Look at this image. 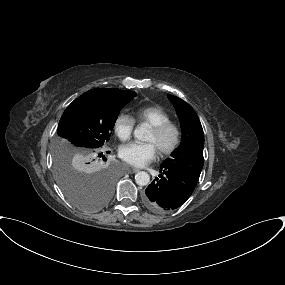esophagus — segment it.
Instances as JSON below:
<instances>
[{"instance_id":"obj_1","label":"esophagus","mask_w":285,"mask_h":285,"mask_svg":"<svg viewBox=\"0 0 285 285\" xmlns=\"http://www.w3.org/2000/svg\"><path fill=\"white\" fill-rule=\"evenodd\" d=\"M139 171H140L139 168H133V169H132V172H133V173H137V172H139Z\"/></svg>"}]
</instances>
